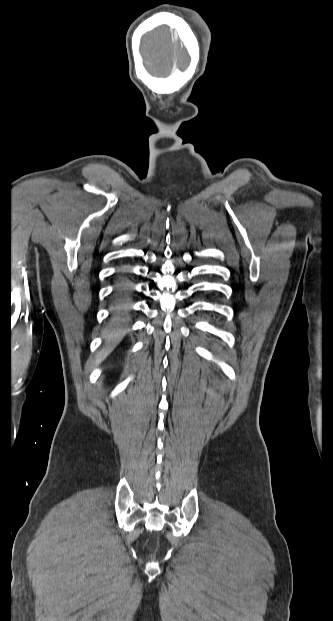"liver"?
<instances>
[{
	"label": "liver",
	"instance_id": "6515ba94",
	"mask_svg": "<svg viewBox=\"0 0 333 621\" xmlns=\"http://www.w3.org/2000/svg\"><path fill=\"white\" fill-rule=\"evenodd\" d=\"M126 334L122 329H110L104 332L105 348L99 352L94 361V365L100 364L118 345Z\"/></svg>",
	"mask_w": 333,
	"mask_h": 621
}]
</instances>
